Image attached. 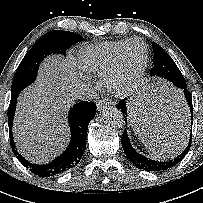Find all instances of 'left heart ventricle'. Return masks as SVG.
<instances>
[{
    "label": "left heart ventricle",
    "instance_id": "obj_1",
    "mask_svg": "<svg viewBox=\"0 0 203 203\" xmlns=\"http://www.w3.org/2000/svg\"><path fill=\"white\" fill-rule=\"evenodd\" d=\"M144 58V49L141 44L135 43L130 46L124 65V73L130 77L138 69Z\"/></svg>",
    "mask_w": 203,
    "mask_h": 203
}]
</instances>
